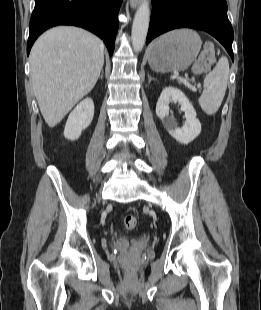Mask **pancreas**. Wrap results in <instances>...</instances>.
Returning a JSON list of instances; mask_svg holds the SVG:
<instances>
[{
    "label": "pancreas",
    "mask_w": 261,
    "mask_h": 310,
    "mask_svg": "<svg viewBox=\"0 0 261 310\" xmlns=\"http://www.w3.org/2000/svg\"><path fill=\"white\" fill-rule=\"evenodd\" d=\"M185 81H186V79L179 78V82H180V83H184V84H185Z\"/></svg>",
    "instance_id": "cf45deb5"
}]
</instances>
